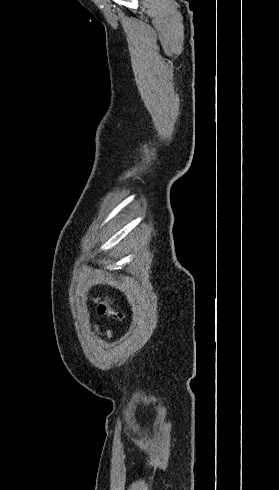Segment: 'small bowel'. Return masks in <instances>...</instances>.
<instances>
[{"instance_id":"small-bowel-1","label":"small bowel","mask_w":279,"mask_h":490,"mask_svg":"<svg viewBox=\"0 0 279 490\" xmlns=\"http://www.w3.org/2000/svg\"><path fill=\"white\" fill-rule=\"evenodd\" d=\"M94 330L102 337L109 339L112 337V331L110 329L101 330L98 325H93Z\"/></svg>"}]
</instances>
